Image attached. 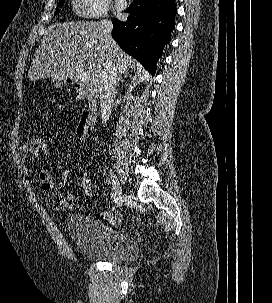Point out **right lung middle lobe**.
<instances>
[{"label":"right lung middle lobe","mask_w":272,"mask_h":303,"mask_svg":"<svg viewBox=\"0 0 272 303\" xmlns=\"http://www.w3.org/2000/svg\"><path fill=\"white\" fill-rule=\"evenodd\" d=\"M64 1L65 0H59L58 7H62L63 4H64ZM59 12H60V9H57L56 12H55V14H58Z\"/></svg>","instance_id":"1"}]
</instances>
